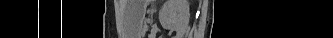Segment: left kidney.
<instances>
[{
    "label": "left kidney",
    "instance_id": "left-kidney-1",
    "mask_svg": "<svg viewBox=\"0 0 333 38\" xmlns=\"http://www.w3.org/2000/svg\"><path fill=\"white\" fill-rule=\"evenodd\" d=\"M159 21L164 29L175 31V38H182L189 24V4L187 0H166L159 10Z\"/></svg>",
    "mask_w": 333,
    "mask_h": 38
}]
</instances>
